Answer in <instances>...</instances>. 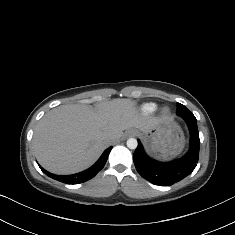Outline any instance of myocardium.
<instances>
[{"label":"myocardium","instance_id":"obj_1","mask_svg":"<svg viewBox=\"0 0 235 235\" xmlns=\"http://www.w3.org/2000/svg\"><path fill=\"white\" fill-rule=\"evenodd\" d=\"M170 114H171V110L168 106L163 107L160 111V115L163 118H168Z\"/></svg>","mask_w":235,"mask_h":235}]
</instances>
